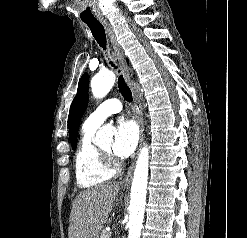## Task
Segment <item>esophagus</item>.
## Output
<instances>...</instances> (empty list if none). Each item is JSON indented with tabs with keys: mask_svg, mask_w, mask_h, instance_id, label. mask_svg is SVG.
<instances>
[{
	"mask_svg": "<svg viewBox=\"0 0 247 238\" xmlns=\"http://www.w3.org/2000/svg\"><path fill=\"white\" fill-rule=\"evenodd\" d=\"M101 23L103 24V26L106 29V32L108 34V37L110 39L111 45H112L113 50H114V55L117 58V60L119 61V64L121 66L124 78H125L126 82L130 85V79H131L130 70H129V67L126 63L122 49H121V47H120V45L116 39L114 30L107 20H101ZM134 111H135V117H136L137 123L139 125V131H140V142H139V148H138V150H139L141 147L142 141H143V113H142L141 103H140V101L136 95H134ZM136 158H135L134 162L132 163V165L129 167V169H128V171H127V173L123 179V185H125V186H128L132 180Z\"/></svg>",
	"mask_w": 247,
	"mask_h": 238,
	"instance_id": "obj_1",
	"label": "esophagus"
}]
</instances>
